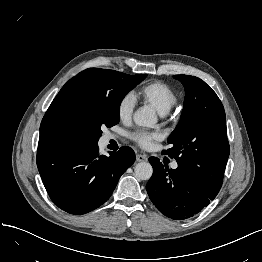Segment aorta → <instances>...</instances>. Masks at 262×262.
<instances>
[{
	"instance_id": "762f6f07",
	"label": "aorta",
	"mask_w": 262,
	"mask_h": 262,
	"mask_svg": "<svg viewBox=\"0 0 262 262\" xmlns=\"http://www.w3.org/2000/svg\"><path fill=\"white\" fill-rule=\"evenodd\" d=\"M135 124L143 127H151L157 122V117L151 108H140L135 111L133 116ZM135 176L140 180L151 178L153 169L149 162H139L134 168Z\"/></svg>"
}]
</instances>
